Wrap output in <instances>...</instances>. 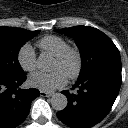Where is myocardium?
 Listing matches in <instances>:
<instances>
[{
    "mask_svg": "<svg viewBox=\"0 0 128 128\" xmlns=\"http://www.w3.org/2000/svg\"><path fill=\"white\" fill-rule=\"evenodd\" d=\"M55 60L61 64H74V68L67 75L69 79H76L81 74L83 68V58L77 47L69 46L62 54L57 56Z\"/></svg>",
    "mask_w": 128,
    "mask_h": 128,
    "instance_id": "obj_1",
    "label": "myocardium"
}]
</instances>
